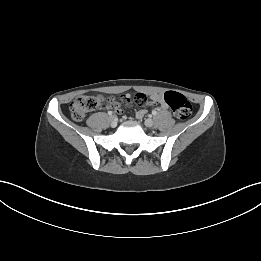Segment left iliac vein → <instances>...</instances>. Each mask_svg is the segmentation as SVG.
Returning a JSON list of instances; mask_svg holds the SVG:
<instances>
[{
    "instance_id": "4c4485c4",
    "label": "left iliac vein",
    "mask_w": 261,
    "mask_h": 261,
    "mask_svg": "<svg viewBox=\"0 0 261 261\" xmlns=\"http://www.w3.org/2000/svg\"><path fill=\"white\" fill-rule=\"evenodd\" d=\"M144 124H145V126L151 128V127L154 126V121H153V119L148 118V119H146V120L144 121Z\"/></svg>"
}]
</instances>
